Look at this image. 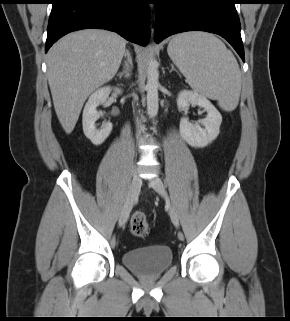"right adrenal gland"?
<instances>
[{
    "instance_id": "1",
    "label": "right adrenal gland",
    "mask_w": 290,
    "mask_h": 321,
    "mask_svg": "<svg viewBox=\"0 0 290 321\" xmlns=\"http://www.w3.org/2000/svg\"><path fill=\"white\" fill-rule=\"evenodd\" d=\"M129 60H130V58H129ZM128 76H129V74L124 75L123 72H120V73L117 74V77H118L119 79H121L122 77L127 78Z\"/></svg>"
}]
</instances>
